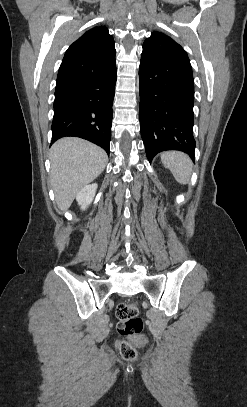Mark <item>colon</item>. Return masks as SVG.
<instances>
[{
	"mask_svg": "<svg viewBox=\"0 0 247 407\" xmlns=\"http://www.w3.org/2000/svg\"><path fill=\"white\" fill-rule=\"evenodd\" d=\"M117 330L123 337L139 334L143 329V321L138 317L136 303H119L116 308ZM117 347L121 357L126 361H133L137 357L134 346L126 339H120Z\"/></svg>",
	"mask_w": 247,
	"mask_h": 407,
	"instance_id": "5ec220e1",
	"label": "colon"
}]
</instances>
